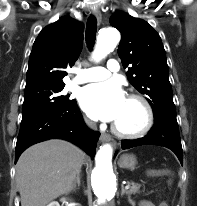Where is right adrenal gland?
Returning <instances> with one entry per match:
<instances>
[{
	"label": "right adrenal gland",
	"mask_w": 197,
	"mask_h": 206,
	"mask_svg": "<svg viewBox=\"0 0 197 206\" xmlns=\"http://www.w3.org/2000/svg\"><path fill=\"white\" fill-rule=\"evenodd\" d=\"M80 185H81L80 173H78L77 176H76V179H75V181H74V183H73V187H72V190H71V191H76L77 186L80 187Z\"/></svg>",
	"instance_id": "2a0ac1e0"
}]
</instances>
